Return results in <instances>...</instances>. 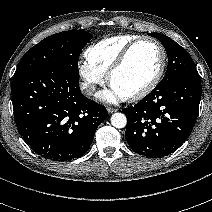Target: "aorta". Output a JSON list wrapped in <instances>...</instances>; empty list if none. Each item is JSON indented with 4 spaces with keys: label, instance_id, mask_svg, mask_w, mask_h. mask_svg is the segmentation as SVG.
<instances>
[{
    "label": "aorta",
    "instance_id": "1",
    "mask_svg": "<svg viewBox=\"0 0 212 212\" xmlns=\"http://www.w3.org/2000/svg\"><path fill=\"white\" fill-rule=\"evenodd\" d=\"M110 121L115 128H124L127 124V118L123 113H114Z\"/></svg>",
    "mask_w": 212,
    "mask_h": 212
}]
</instances>
